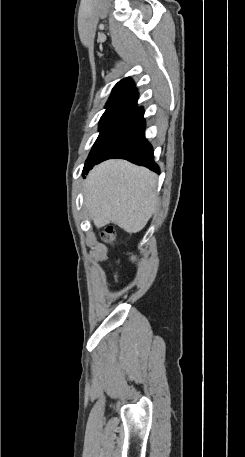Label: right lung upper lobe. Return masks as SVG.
Masks as SVG:
<instances>
[{
	"mask_svg": "<svg viewBox=\"0 0 245 457\" xmlns=\"http://www.w3.org/2000/svg\"><path fill=\"white\" fill-rule=\"evenodd\" d=\"M138 93L130 78L118 82L105 106V112H131L137 106Z\"/></svg>",
	"mask_w": 245,
	"mask_h": 457,
	"instance_id": "cb5924a9",
	"label": "right lung upper lobe"
}]
</instances>
